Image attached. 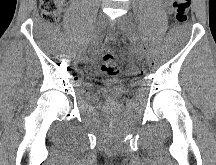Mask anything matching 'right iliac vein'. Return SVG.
I'll return each instance as SVG.
<instances>
[{"mask_svg": "<svg viewBox=\"0 0 216 165\" xmlns=\"http://www.w3.org/2000/svg\"><path fill=\"white\" fill-rule=\"evenodd\" d=\"M105 23V16L103 14L99 15L96 26L93 30L90 42H91V47H93L95 45V43L97 42V40L100 37L101 31H102V27Z\"/></svg>", "mask_w": 216, "mask_h": 165, "instance_id": "right-iliac-vein-1", "label": "right iliac vein"}]
</instances>
